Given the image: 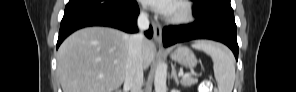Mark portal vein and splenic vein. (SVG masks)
I'll return each mask as SVG.
<instances>
[{"label":"portal vein and splenic vein","mask_w":296,"mask_h":92,"mask_svg":"<svg viewBox=\"0 0 296 92\" xmlns=\"http://www.w3.org/2000/svg\"><path fill=\"white\" fill-rule=\"evenodd\" d=\"M179 76L183 78V77H189L190 75L189 74H184L183 72H180Z\"/></svg>","instance_id":"portal-vein-and-splenic-vein-1"}]
</instances>
